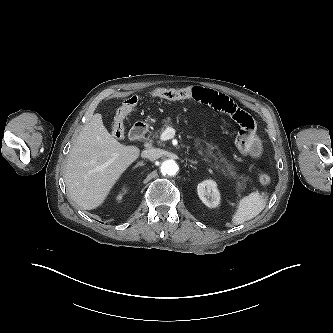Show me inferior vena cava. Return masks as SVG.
<instances>
[{
    "label": "inferior vena cava",
    "instance_id": "obj_1",
    "mask_svg": "<svg viewBox=\"0 0 333 333\" xmlns=\"http://www.w3.org/2000/svg\"><path fill=\"white\" fill-rule=\"evenodd\" d=\"M141 156L143 158L154 161L161 157V150L156 148L147 149L142 152Z\"/></svg>",
    "mask_w": 333,
    "mask_h": 333
}]
</instances>
